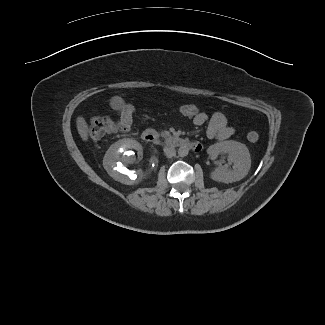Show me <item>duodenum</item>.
<instances>
[{
  "mask_svg": "<svg viewBox=\"0 0 325 325\" xmlns=\"http://www.w3.org/2000/svg\"><path fill=\"white\" fill-rule=\"evenodd\" d=\"M142 138L147 143H153L157 140V134L153 130L147 129L142 133ZM168 144L175 148H185L189 145L187 140L178 136L170 137Z\"/></svg>",
  "mask_w": 325,
  "mask_h": 325,
  "instance_id": "1",
  "label": "duodenum"
}]
</instances>
